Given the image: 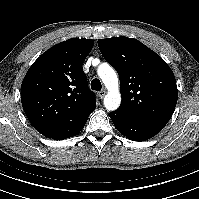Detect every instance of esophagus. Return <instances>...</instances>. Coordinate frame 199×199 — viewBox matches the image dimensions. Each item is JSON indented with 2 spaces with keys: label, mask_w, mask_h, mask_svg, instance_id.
I'll return each mask as SVG.
<instances>
[{
  "label": "esophagus",
  "mask_w": 199,
  "mask_h": 199,
  "mask_svg": "<svg viewBox=\"0 0 199 199\" xmlns=\"http://www.w3.org/2000/svg\"><path fill=\"white\" fill-rule=\"evenodd\" d=\"M107 91L104 89V90H101L100 92H98V96L102 99L104 98V96L106 95Z\"/></svg>",
  "instance_id": "obj_1"
}]
</instances>
